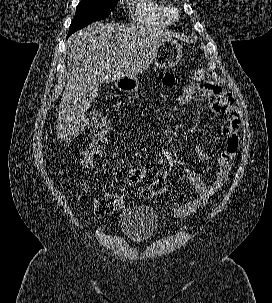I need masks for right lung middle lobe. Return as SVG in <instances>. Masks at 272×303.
<instances>
[{"label": "right lung middle lobe", "mask_w": 272, "mask_h": 303, "mask_svg": "<svg viewBox=\"0 0 272 303\" xmlns=\"http://www.w3.org/2000/svg\"><path fill=\"white\" fill-rule=\"evenodd\" d=\"M118 0H82L76 7V14L71 22L68 37L91 22L105 19L117 5Z\"/></svg>", "instance_id": "obj_1"}]
</instances>
